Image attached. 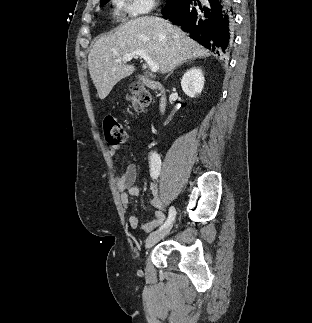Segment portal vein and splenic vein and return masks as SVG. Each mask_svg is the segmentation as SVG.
<instances>
[{
    "instance_id": "18ae733b",
    "label": "portal vein and splenic vein",
    "mask_w": 312,
    "mask_h": 323,
    "mask_svg": "<svg viewBox=\"0 0 312 323\" xmlns=\"http://www.w3.org/2000/svg\"><path fill=\"white\" fill-rule=\"evenodd\" d=\"M137 56H140V58H143V60L147 62L151 72H158V64H156V62H153V60H150L147 52H144V50H135V52H130V54H126V56H121V58H118V60H115V62H119V64H124V62H131L132 58H137Z\"/></svg>"
}]
</instances>
